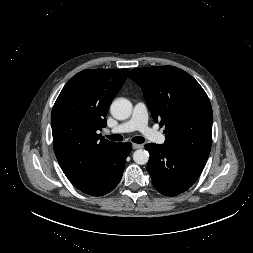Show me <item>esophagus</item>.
Masks as SVG:
<instances>
[{"instance_id":"34e87169","label":"esophagus","mask_w":253,"mask_h":253,"mask_svg":"<svg viewBox=\"0 0 253 253\" xmlns=\"http://www.w3.org/2000/svg\"><path fill=\"white\" fill-rule=\"evenodd\" d=\"M132 147H133V149H140V148H143V145L142 144L133 143Z\"/></svg>"}]
</instances>
